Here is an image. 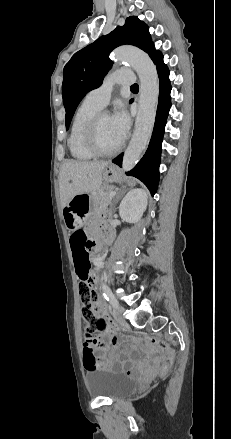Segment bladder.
I'll list each match as a JSON object with an SVG mask.
<instances>
[{
	"label": "bladder",
	"instance_id": "obj_1",
	"mask_svg": "<svg viewBox=\"0 0 231 439\" xmlns=\"http://www.w3.org/2000/svg\"><path fill=\"white\" fill-rule=\"evenodd\" d=\"M85 380L93 397L118 399L133 394L139 388L136 378L112 368L88 369Z\"/></svg>",
	"mask_w": 231,
	"mask_h": 439
}]
</instances>
